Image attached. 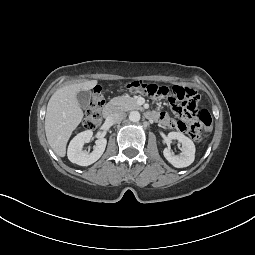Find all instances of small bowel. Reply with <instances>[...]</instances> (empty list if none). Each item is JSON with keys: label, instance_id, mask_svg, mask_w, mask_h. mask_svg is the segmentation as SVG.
<instances>
[{"label": "small bowel", "instance_id": "obj_1", "mask_svg": "<svg viewBox=\"0 0 255 255\" xmlns=\"http://www.w3.org/2000/svg\"><path fill=\"white\" fill-rule=\"evenodd\" d=\"M176 105H174L175 111ZM176 113V112H175ZM157 119L163 126L176 129L180 132L190 133L192 130L198 131V127L190 119H176L167 113H156ZM179 115V113H176Z\"/></svg>", "mask_w": 255, "mask_h": 255}]
</instances>
